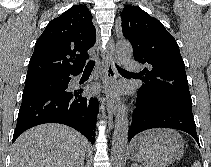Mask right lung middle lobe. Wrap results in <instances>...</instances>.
Segmentation results:
<instances>
[{
	"label": "right lung middle lobe",
	"mask_w": 211,
	"mask_h": 167,
	"mask_svg": "<svg viewBox=\"0 0 211 167\" xmlns=\"http://www.w3.org/2000/svg\"><path fill=\"white\" fill-rule=\"evenodd\" d=\"M67 82L68 79L63 76H51L29 80L26 81L23 94L47 90L67 89Z\"/></svg>",
	"instance_id": "1"
}]
</instances>
